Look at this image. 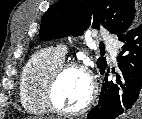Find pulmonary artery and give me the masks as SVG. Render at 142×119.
Returning <instances> with one entry per match:
<instances>
[{
  "label": "pulmonary artery",
  "instance_id": "obj_1",
  "mask_svg": "<svg viewBox=\"0 0 142 119\" xmlns=\"http://www.w3.org/2000/svg\"><path fill=\"white\" fill-rule=\"evenodd\" d=\"M102 42L110 48L112 59L115 60L117 56V45L115 41L106 34L101 35ZM57 52L64 58L66 49L62 46L58 47Z\"/></svg>",
  "mask_w": 142,
  "mask_h": 119
}]
</instances>
